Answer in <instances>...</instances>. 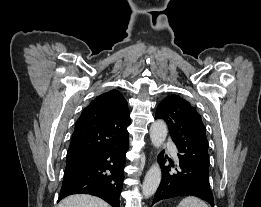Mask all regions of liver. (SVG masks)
I'll return each instance as SVG.
<instances>
[{
  "mask_svg": "<svg viewBox=\"0 0 261 207\" xmlns=\"http://www.w3.org/2000/svg\"><path fill=\"white\" fill-rule=\"evenodd\" d=\"M58 207H111L104 200L87 195L76 194L64 198L58 205Z\"/></svg>",
  "mask_w": 261,
  "mask_h": 207,
  "instance_id": "1",
  "label": "liver"
}]
</instances>
